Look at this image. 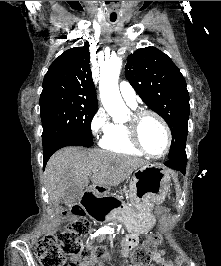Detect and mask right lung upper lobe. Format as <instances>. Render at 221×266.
Returning <instances> with one entry per match:
<instances>
[{"mask_svg": "<svg viewBox=\"0 0 221 266\" xmlns=\"http://www.w3.org/2000/svg\"><path fill=\"white\" fill-rule=\"evenodd\" d=\"M58 90L85 98L98 105L90 69L89 45L66 50L50 65L44 76L43 91Z\"/></svg>", "mask_w": 221, "mask_h": 266, "instance_id": "right-lung-upper-lobe-1", "label": "right lung upper lobe"}]
</instances>
